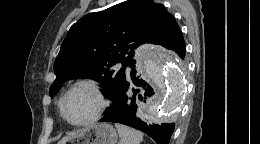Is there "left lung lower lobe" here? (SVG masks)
<instances>
[{
	"instance_id": "left-lung-lower-lobe-1",
	"label": "left lung lower lobe",
	"mask_w": 260,
	"mask_h": 144,
	"mask_svg": "<svg viewBox=\"0 0 260 144\" xmlns=\"http://www.w3.org/2000/svg\"><path fill=\"white\" fill-rule=\"evenodd\" d=\"M175 51L181 59L185 57V42L180 31L165 46ZM130 74H125L112 98V105L104 112L100 122H114L128 125L149 135L157 144H169L174 131L173 123L156 124L145 121L142 114V103L154 96L152 87L142 78L136 76L134 64Z\"/></svg>"
}]
</instances>
